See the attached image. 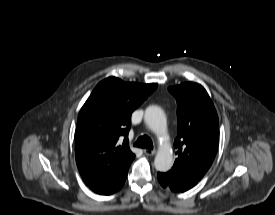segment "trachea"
Returning <instances> with one entry per match:
<instances>
[{
  "instance_id": "3493384b",
  "label": "trachea",
  "mask_w": 275,
  "mask_h": 215,
  "mask_svg": "<svg viewBox=\"0 0 275 215\" xmlns=\"http://www.w3.org/2000/svg\"><path fill=\"white\" fill-rule=\"evenodd\" d=\"M134 146L146 149H153L152 140L147 135L139 137L134 143Z\"/></svg>"
}]
</instances>
